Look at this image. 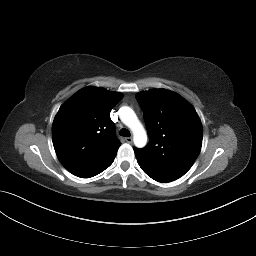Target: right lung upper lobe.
<instances>
[{
  "label": "right lung upper lobe",
  "mask_w": 256,
  "mask_h": 256,
  "mask_svg": "<svg viewBox=\"0 0 256 256\" xmlns=\"http://www.w3.org/2000/svg\"><path fill=\"white\" fill-rule=\"evenodd\" d=\"M122 94L86 87L59 109L52 125L53 145L62 165L71 173L104 163L121 145L114 135L111 109Z\"/></svg>",
  "instance_id": "right-lung-upper-lobe-1"
}]
</instances>
